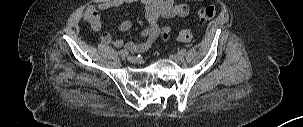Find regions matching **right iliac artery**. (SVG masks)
Returning <instances> with one entry per match:
<instances>
[{
    "mask_svg": "<svg viewBox=\"0 0 303 127\" xmlns=\"http://www.w3.org/2000/svg\"><path fill=\"white\" fill-rule=\"evenodd\" d=\"M119 54H120L122 57H125V56H127V55L129 54V52L122 49V50L119 51Z\"/></svg>",
    "mask_w": 303,
    "mask_h": 127,
    "instance_id": "82829eb1",
    "label": "right iliac artery"
}]
</instances>
